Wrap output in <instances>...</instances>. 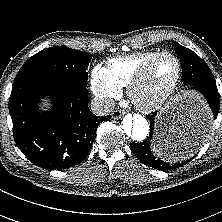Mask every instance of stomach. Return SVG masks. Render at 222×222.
Instances as JSON below:
<instances>
[{
  "mask_svg": "<svg viewBox=\"0 0 222 222\" xmlns=\"http://www.w3.org/2000/svg\"><path fill=\"white\" fill-rule=\"evenodd\" d=\"M208 115L209 111L204 101L194 93L187 92L173 98L157 117L155 144H159L165 153L190 155L191 152H176L173 141L193 121L205 119Z\"/></svg>",
  "mask_w": 222,
  "mask_h": 222,
  "instance_id": "0dacf381",
  "label": "stomach"
}]
</instances>
